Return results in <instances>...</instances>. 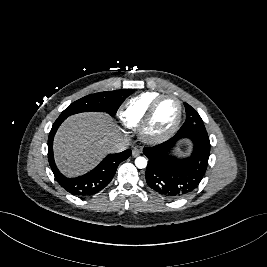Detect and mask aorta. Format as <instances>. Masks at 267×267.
<instances>
[{
    "label": "aorta",
    "mask_w": 267,
    "mask_h": 267,
    "mask_svg": "<svg viewBox=\"0 0 267 267\" xmlns=\"http://www.w3.org/2000/svg\"><path fill=\"white\" fill-rule=\"evenodd\" d=\"M135 165L139 169H143L147 166V159L144 157H137L135 159Z\"/></svg>",
    "instance_id": "aorta-1"
}]
</instances>
